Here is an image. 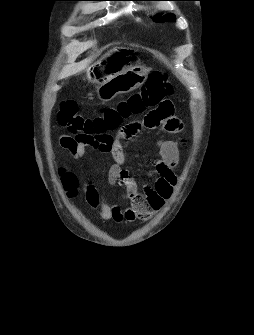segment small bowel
Segmentation results:
<instances>
[{
	"label": "small bowel",
	"instance_id": "1",
	"mask_svg": "<svg viewBox=\"0 0 254 335\" xmlns=\"http://www.w3.org/2000/svg\"><path fill=\"white\" fill-rule=\"evenodd\" d=\"M162 104H155L149 108L145 118L127 120L120 125L116 137L108 151L113 164L109 167L107 180L112 185H120L125 189L126 204L120 206L110 203L95 187L92 181L86 182L83 188L85 201L93 208H99L101 220L116 222H132L136 219L147 220L154 212L162 208L168 200L177 183L175 168L179 161L181 148L185 140L179 143L170 140L158 142L159 158L154 161L153 173L156 176L152 184L140 189L129 170L124 166L126 157L120 142L121 138H130L139 130L156 131L157 134L179 135L184 129L182 122L174 117L175 106L169 98H162ZM61 146L75 158L84 155L88 145L77 137L64 135L59 138ZM61 181L64 190L70 197H74L78 190V178L72 172H61Z\"/></svg>",
	"mask_w": 254,
	"mask_h": 335
}]
</instances>
